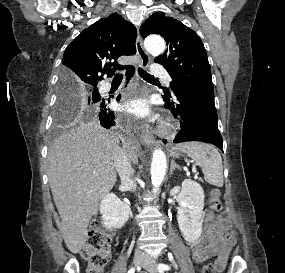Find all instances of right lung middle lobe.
<instances>
[{
  "instance_id": "obj_1",
  "label": "right lung middle lobe",
  "mask_w": 285,
  "mask_h": 273,
  "mask_svg": "<svg viewBox=\"0 0 285 273\" xmlns=\"http://www.w3.org/2000/svg\"><path fill=\"white\" fill-rule=\"evenodd\" d=\"M102 99L97 85L79 84L68 75L61 74L57 99V124L81 118H98Z\"/></svg>"
}]
</instances>
